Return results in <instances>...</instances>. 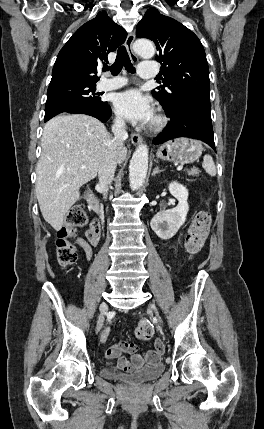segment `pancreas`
Returning a JSON list of instances; mask_svg holds the SVG:
<instances>
[{
	"label": "pancreas",
	"instance_id": "obj_1",
	"mask_svg": "<svg viewBox=\"0 0 264 429\" xmlns=\"http://www.w3.org/2000/svg\"><path fill=\"white\" fill-rule=\"evenodd\" d=\"M187 173L188 175H191V176H198L199 170L198 169L188 170Z\"/></svg>",
	"mask_w": 264,
	"mask_h": 429
}]
</instances>
